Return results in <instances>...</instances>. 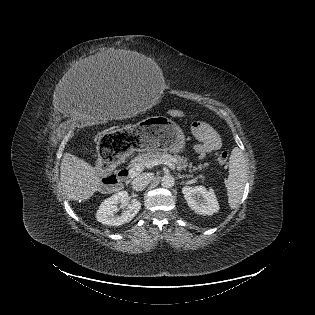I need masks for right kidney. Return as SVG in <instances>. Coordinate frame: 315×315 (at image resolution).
<instances>
[{"label":"right kidney","mask_w":315,"mask_h":315,"mask_svg":"<svg viewBox=\"0 0 315 315\" xmlns=\"http://www.w3.org/2000/svg\"><path fill=\"white\" fill-rule=\"evenodd\" d=\"M128 202V192L120 191L111 197L104 200L96 213V219L98 222L109 225L119 226L127 222H130L139 212L141 203L137 199H132L128 204L127 210L124 211L121 216L115 215L118 211V204L125 205Z\"/></svg>","instance_id":"ca27d5eb"}]
</instances>
